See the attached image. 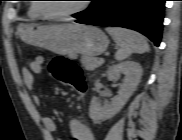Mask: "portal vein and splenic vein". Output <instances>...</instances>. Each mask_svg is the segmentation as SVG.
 I'll return each mask as SVG.
<instances>
[{
  "label": "portal vein and splenic vein",
  "instance_id": "portal-vein-and-splenic-vein-1",
  "mask_svg": "<svg viewBox=\"0 0 182 140\" xmlns=\"http://www.w3.org/2000/svg\"><path fill=\"white\" fill-rule=\"evenodd\" d=\"M99 61H100L101 63H104V59H103V58H100Z\"/></svg>",
  "mask_w": 182,
  "mask_h": 140
}]
</instances>
